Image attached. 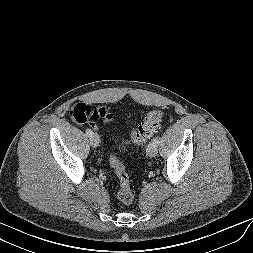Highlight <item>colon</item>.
Returning <instances> with one entry per match:
<instances>
[{"label": "colon", "instance_id": "obj_1", "mask_svg": "<svg viewBox=\"0 0 253 253\" xmlns=\"http://www.w3.org/2000/svg\"><path fill=\"white\" fill-rule=\"evenodd\" d=\"M70 116L77 123H91L95 118V110L80 103L71 109ZM162 117L163 113L161 110L155 109L149 112L143 122L131 130V139L135 143L147 141L159 127ZM109 162L119 181L117 197L121 203L130 204L134 200V193L125 167L116 153L110 156Z\"/></svg>", "mask_w": 253, "mask_h": 253}]
</instances>
